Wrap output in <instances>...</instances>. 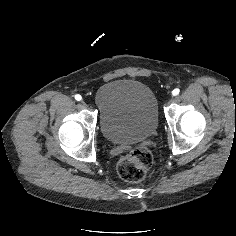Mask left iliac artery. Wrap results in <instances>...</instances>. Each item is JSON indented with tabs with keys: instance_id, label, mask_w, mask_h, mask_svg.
Listing matches in <instances>:
<instances>
[{
	"instance_id": "left-iliac-artery-1",
	"label": "left iliac artery",
	"mask_w": 236,
	"mask_h": 236,
	"mask_svg": "<svg viewBox=\"0 0 236 236\" xmlns=\"http://www.w3.org/2000/svg\"><path fill=\"white\" fill-rule=\"evenodd\" d=\"M179 92H180V90L178 88H176L172 91V94H174L176 96L179 94Z\"/></svg>"
}]
</instances>
